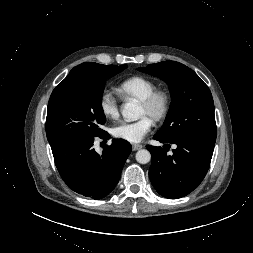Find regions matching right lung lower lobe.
I'll return each instance as SVG.
<instances>
[{"mask_svg":"<svg viewBox=\"0 0 253 253\" xmlns=\"http://www.w3.org/2000/svg\"><path fill=\"white\" fill-rule=\"evenodd\" d=\"M109 139L107 132L100 136ZM93 139L76 140L52 147L56 167L64 182L85 197L101 199L117 185L122 168L132 151L128 141L113 139L102 154L93 146Z\"/></svg>","mask_w":253,"mask_h":253,"instance_id":"obj_1","label":"right lung lower lobe"}]
</instances>
